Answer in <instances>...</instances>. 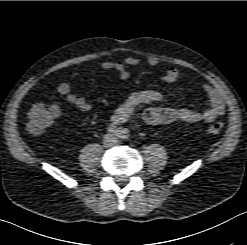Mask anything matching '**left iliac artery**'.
Listing matches in <instances>:
<instances>
[{
	"instance_id": "obj_1",
	"label": "left iliac artery",
	"mask_w": 247,
	"mask_h": 245,
	"mask_svg": "<svg viewBox=\"0 0 247 245\" xmlns=\"http://www.w3.org/2000/svg\"><path fill=\"white\" fill-rule=\"evenodd\" d=\"M120 137L121 138H127L128 137L127 130H125V129L121 130Z\"/></svg>"
}]
</instances>
